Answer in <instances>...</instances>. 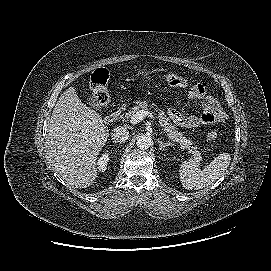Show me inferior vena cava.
<instances>
[{"instance_id":"1","label":"inferior vena cava","mask_w":271,"mask_h":271,"mask_svg":"<svg viewBox=\"0 0 271 271\" xmlns=\"http://www.w3.org/2000/svg\"><path fill=\"white\" fill-rule=\"evenodd\" d=\"M112 140L115 142H125L129 138V131L122 126L115 127L111 132Z\"/></svg>"}]
</instances>
